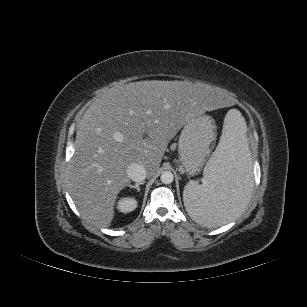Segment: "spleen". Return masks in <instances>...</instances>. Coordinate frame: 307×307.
Returning a JSON list of instances; mask_svg holds the SVG:
<instances>
[{
    "instance_id": "1",
    "label": "spleen",
    "mask_w": 307,
    "mask_h": 307,
    "mask_svg": "<svg viewBox=\"0 0 307 307\" xmlns=\"http://www.w3.org/2000/svg\"><path fill=\"white\" fill-rule=\"evenodd\" d=\"M245 119L237 110L225 116L216 150L203 171L202 184L190 181L183 201L197 223L216 228L234 220L247 206L253 189Z\"/></svg>"
}]
</instances>
